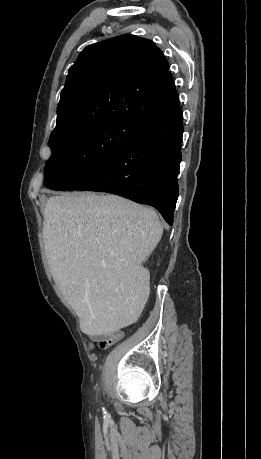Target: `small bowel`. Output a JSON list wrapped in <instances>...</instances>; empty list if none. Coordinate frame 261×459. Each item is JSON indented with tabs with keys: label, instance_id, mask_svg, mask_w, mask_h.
Here are the masks:
<instances>
[{
	"label": "small bowel",
	"instance_id": "1",
	"mask_svg": "<svg viewBox=\"0 0 261 459\" xmlns=\"http://www.w3.org/2000/svg\"><path fill=\"white\" fill-rule=\"evenodd\" d=\"M92 342H97L100 346H106L117 342L123 336L121 330L105 331L97 327H87L85 329Z\"/></svg>",
	"mask_w": 261,
	"mask_h": 459
}]
</instances>
